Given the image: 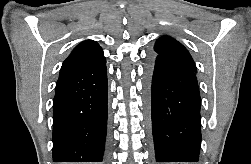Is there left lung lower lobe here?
I'll list each match as a JSON object with an SVG mask.
<instances>
[{
  "mask_svg": "<svg viewBox=\"0 0 251 164\" xmlns=\"http://www.w3.org/2000/svg\"><path fill=\"white\" fill-rule=\"evenodd\" d=\"M195 73L168 59L148 61L146 102L155 162L199 160L201 100Z\"/></svg>",
  "mask_w": 251,
  "mask_h": 164,
  "instance_id": "left-lung-lower-lobe-1",
  "label": "left lung lower lobe"
}]
</instances>
